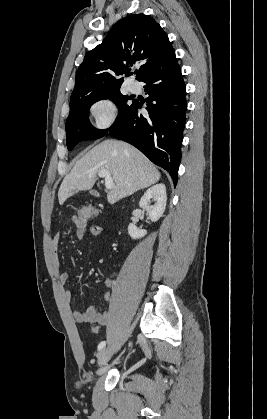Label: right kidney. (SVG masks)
I'll list each match as a JSON object with an SVG mask.
<instances>
[{"label":"right kidney","mask_w":267,"mask_h":419,"mask_svg":"<svg viewBox=\"0 0 267 419\" xmlns=\"http://www.w3.org/2000/svg\"><path fill=\"white\" fill-rule=\"evenodd\" d=\"M153 200L155 204L150 206V201ZM166 187L164 184H156L149 188L141 197L139 206L147 212L151 221L155 222L163 215L166 208ZM128 234L132 239H139L147 234L146 230L139 229L135 224L128 225Z\"/></svg>","instance_id":"obj_1"}]
</instances>
